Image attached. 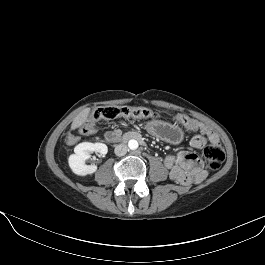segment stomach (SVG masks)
<instances>
[{
	"label": "stomach",
	"instance_id": "stomach-1",
	"mask_svg": "<svg viewBox=\"0 0 265 265\" xmlns=\"http://www.w3.org/2000/svg\"><path fill=\"white\" fill-rule=\"evenodd\" d=\"M146 130L155 138L174 145L181 143L184 137L182 129L178 126L158 120L148 122Z\"/></svg>",
	"mask_w": 265,
	"mask_h": 265
}]
</instances>
